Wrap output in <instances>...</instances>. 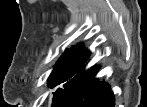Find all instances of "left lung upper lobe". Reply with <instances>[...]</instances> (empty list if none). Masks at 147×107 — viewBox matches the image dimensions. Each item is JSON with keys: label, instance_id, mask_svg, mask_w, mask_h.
<instances>
[{"label": "left lung upper lobe", "instance_id": "left-lung-upper-lobe-1", "mask_svg": "<svg viewBox=\"0 0 147 107\" xmlns=\"http://www.w3.org/2000/svg\"><path fill=\"white\" fill-rule=\"evenodd\" d=\"M90 57V52L83 48L82 43L66 50L59 61L56 63L53 71L48 79V86L54 88L62 84L63 88L75 76V74L83 67ZM63 89L58 88L54 93L56 99Z\"/></svg>", "mask_w": 147, "mask_h": 107}]
</instances>
